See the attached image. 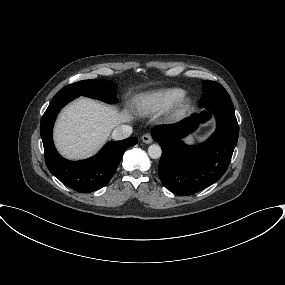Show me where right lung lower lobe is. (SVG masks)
Wrapping results in <instances>:
<instances>
[{"mask_svg": "<svg viewBox=\"0 0 285 285\" xmlns=\"http://www.w3.org/2000/svg\"><path fill=\"white\" fill-rule=\"evenodd\" d=\"M76 96L58 92L45 111L40 134L44 146L45 162L49 171L63 184L80 193H89L104 187L112 178L126 149L137 143V138L107 143L94 157L82 161H69L56 151L52 129L60 109Z\"/></svg>", "mask_w": 285, "mask_h": 285, "instance_id": "right-lung-lower-lobe-1", "label": "right lung lower lobe"}]
</instances>
